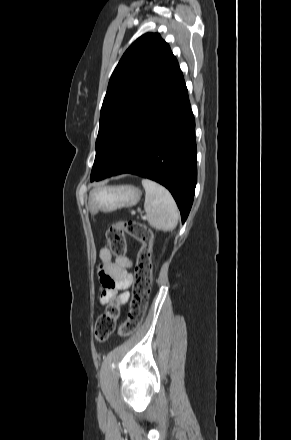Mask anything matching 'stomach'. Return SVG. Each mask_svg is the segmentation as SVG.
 I'll return each mask as SVG.
<instances>
[{"instance_id": "obj_1", "label": "stomach", "mask_w": 291, "mask_h": 440, "mask_svg": "<svg viewBox=\"0 0 291 440\" xmlns=\"http://www.w3.org/2000/svg\"><path fill=\"white\" fill-rule=\"evenodd\" d=\"M141 194V190L133 185L98 187L90 192L87 207L91 214L112 212L136 205Z\"/></svg>"}]
</instances>
